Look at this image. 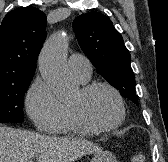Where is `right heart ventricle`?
I'll use <instances>...</instances> for the list:
<instances>
[{"label":"right heart ventricle","instance_id":"e07e8e85","mask_svg":"<svg viewBox=\"0 0 168 162\" xmlns=\"http://www.w3.org/2000/svg\"><path fill=\"white\" fill-rule=\"evenodd\" d=\"M66 117L64 123L54 132L57 134H85L86 131L84 128L78 125L76 122L73 113L71 111L70 105H64Z\"/></svg>","mask_w":168,"mask_h":162}]
</instances>
